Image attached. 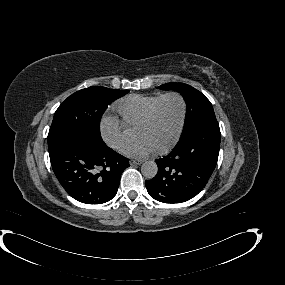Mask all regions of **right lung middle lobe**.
<instances>
[{"label":"right lung middle lobe","mask_w":285,"mask_h":285,"mask_svg":"<svg viewBox=\"0 0 285 285\" xmlns=\"http://www.w3.org/2000/svg\"><path fill=\"white\" fill-rule=\"evenodd\" d=\"M128 90L101 86L82 89L69 96L56 110L48 133V149L63 139L79 137L94 144H103L100 118L105 108Z\"/></svg>","instance_id":"1"}]
</instances>
